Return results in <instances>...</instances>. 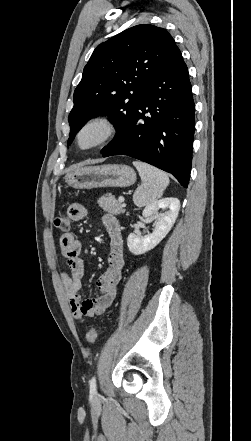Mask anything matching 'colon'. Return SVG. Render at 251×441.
I'll return each instance as SVG.
<instances>
[{"instance_id": "obj_1", "label": "colon", "mask_w": 251, "mask_h": 441, "mask_svg": "<svg viewBox=\"0 0 251 441\" xmlns=\"http://www.w3.org/2000/svg\"><path fill=\"white\" fill-rule=\"evenodd\" d=\"M54 226L63 234H69L70 228H71V218L68 215H60L59 217L55 218L54 220ZM99 327H92L86 335L87 342L92 344L97 339L98 333H99Z\"/></svg>"}]
</instances>
